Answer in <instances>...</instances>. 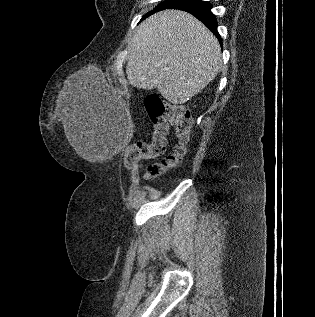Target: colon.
I'll use <instances>...</instances> for the list:
<instances>
[{
	"mask_svg": "<svg viewBox=\"0 0 315 317\" xmlns=\"http://www.w3.org/2000/svg\"><path fill=\"white\" fill-rule=\"evenodd\" d=\"M145 108L153 127L151 141L137 142L128 146L125 154V162L128 165L162 155L165 152L167 136L171 127L174 128L178 140V145L172 154L147 167L146 177L153 178L175 167L186 153L191 137L192 118L186 109L166 106L157 96L147 97Z\"/></svg>",
	"mask_w": 315,
	"mask_h": 317,
	"instance_id": "5ec220e1",
	"label": "colon"
}]
</instances>
